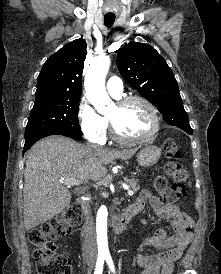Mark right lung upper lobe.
Segmentation results:
<instances>
[{
    "label": "right lung upper lobe",
    "mask_w": 221,
    "mask_h": 274,
    "mask_svg": "<svg viewBox=\"0 0 221 274\" xmlns=\"http://www.w3.org/2000/svg\"><path fill=\"white\" fill-rule=\"evenodd\" d=\"M87 44L84 39L63 46L45 62L37 79L35 99L82 94V72Z\"/></svg>",
    "instance_id": "obj_1"
}]
</instances>
